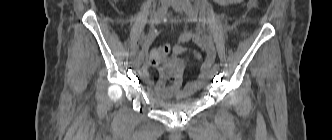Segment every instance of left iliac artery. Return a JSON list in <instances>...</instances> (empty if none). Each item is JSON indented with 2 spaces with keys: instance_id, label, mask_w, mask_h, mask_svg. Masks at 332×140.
<instances>
[{
  "instance_id": "obj_1",
  "label": "left iliac artery",
  "mask_w": 332,
  "mask_h": 140,
  "mask_svg": "<svg viewBox=\"0 0 332 140\" xmlns=\"http://www.w3.org/2000/svg\"><path fill=\"white\" fill-rule=\"evenodd\" d=\"M184 9L185 12L187 13V15L192 19V20H196V12L192 6V3L190 2V0H184ZM214 68L216 69H220L219 64H215Z\"/></svg>"
}]
</instances>
